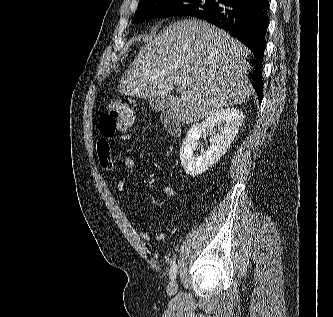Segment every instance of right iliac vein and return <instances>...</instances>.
Returning a JSON list of instances; mask_svg holds the SVG:
<instances>
[{"label":"right iliac vein","mask_w":333,"mask_h":317,"mask_svg":"<svg viewBox=\"0 0 333 317\" xmlns=\"http://www.w3.org/2000/svg\"><path fill=\"white\" fill-rule=\"evenodd\" d=\"M178 290V284L176 282V280H172L168 287H167V292L169 295H174Z\"/></svg>","instance_id":"right-iliac-vein-1"}]
</instances>
